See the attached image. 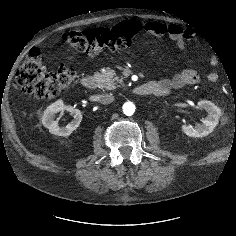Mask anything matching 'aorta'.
<instances>
[{"label": "aorta", "instance_id": "aorta-1", "mask_svg": "<svg viewBox=\"0 0 236 236\" xmlns=\"http://www.w3.org/2000/svg\"><path fill=\"white\" fill-rule=\"evenodd\" d=\"M123 113L126 116H132L135 113V104L133 102L127 101L123 104Z\"/></svg>", "mask_w": 236, "mask_h": 236}]
</instances>
